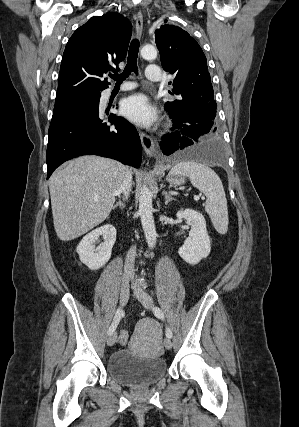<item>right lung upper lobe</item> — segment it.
<instances>
[{
	"instance_id": "cb5924a9",
	"label": "right lung upper lobe",
	"mask_w": 299,
	"mask_h": 427,
	"mask_svg": "<svg viewBox=\"0 0 299 427\" xmlns=\"http://www.w3.org/2000/svg\"><path fill=\"white\" fill-rule=\"evenodd\" d=\"M131 23L119 13L95 16L79 27L63 53L56 103L98 94L109 85L104 73L124 60L131 38Z\"/></svg>"
}]
</instances>
